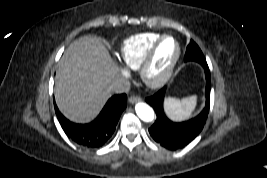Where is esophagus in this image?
<instances>
[{
  "mask_svg": "<svg viewBox=\"0 0 267 178\" xmlns=\"http://www.w3.org/2000/svg\"><path fill=\"white\" fill-rule=\"evenodd\" d=\"M128 101H129V103L134 104V103H136V102L141 101V98L138 97V96H130V97L128 98Z\"/></svg>",
  "mask_w": 267,
  "mask_h": 178,
  "instance_id": "34e87169",
  "label": "esophagus"
}]
</instances>
